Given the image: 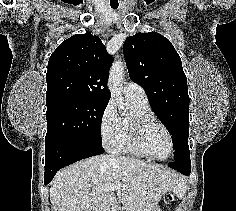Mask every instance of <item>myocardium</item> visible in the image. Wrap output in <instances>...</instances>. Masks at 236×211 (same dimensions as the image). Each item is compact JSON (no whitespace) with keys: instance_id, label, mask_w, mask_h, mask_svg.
Here are the masks:
<instances>
[{"instance_id":"1","label":"myocardium","mask_w":236,"mask_h":211,"mask_svg":"<svg viewBox=\"0 0 236 211\" xmlns=\"http://www.w3.org/2000/svg\"><path fill=\"white\" fill-rule=\"evenodd\" d=\"M152 125H158L163 128L169 138L170 149L165 156L153 155L145 151L142 147L141 139L143 133ZM128 142L138 155L156 160H165L169 158L174 151V140L168 127L155 117H150L141 113H133V115L128 120Z\"/></svg>"}]
</instances>
